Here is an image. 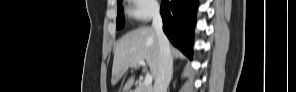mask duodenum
Masks as SVG:
<instances>
[{"label": "duodenum", "instance_id": "duodenum-1", "mask_svg": "<svg viewBox=\"0 0 296 92\" xmlns=\"http://www.w3.org/2000/svg\"><path fill=\"white\" fill-rule=\"evenodd\" d=\"M131 92H140V90L136 89H132Z\"/></svg>", "mask_w": 296, "mask_h": 92}]
</instances>
